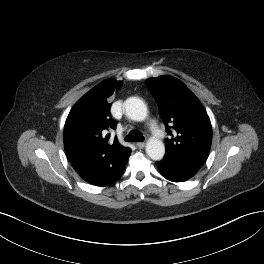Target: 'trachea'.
Masks as SVG:
<instances>
[{
	"label": "trachea",
	"instance_id": "3493384b",
	"mask_svg": "<svg viewBox=\"0 0 264 264\" xmlns=\"http://www.w3.org/2000/svg\"><path fill=\"white\" fill-rule=\"evenodd\" d=\"M126 141L128 142H141L144 137L139 131H132L126 136Z\"/></svg>",
	"mask_w": 264,
	"mask_h": 264
}]
</instances>
